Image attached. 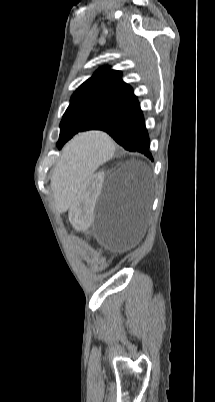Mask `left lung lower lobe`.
Segmentation results:
<instances>
[{"instance_id": "obj_1", "label": "left lung lower lobe", "mask_w": 215, "mask_h": 402, "mask_svg": "<svg viewBox=\"0 0 215 402\" xmlns=\"http://www.w3.org/2000/svg\"><path fill=\"white\" fill-rule=\"evenodd\" d=\"M95 130L107 132L126 150L138 151L153 160L149 150L150 140L148 132L137 99L116 113L112 118L99 125Z\"/></svg>"}]
</instances>
